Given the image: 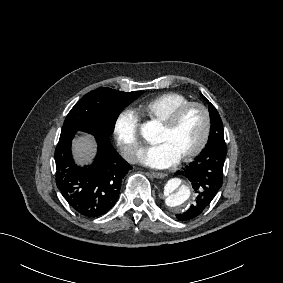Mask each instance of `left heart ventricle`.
<instances>
[{
  "label": "left heart ventricle",
  "instance_id": "1",
  "mask_svg": "<svg viewBox=\"0 0 283 283\" xmlns=\"http://www.w3.org/2000/svg\"><path fill=\"white\" fill-rule=\"evenodd\" d=\"M203 133V115L198 108L193 107L183 114L172 130L168 131L161 125L155 143H166L173 152L182 157L199 144Z\"/></svg>",
  "mask_w": 283,
  "mask_h": 283
}]
</instances>
